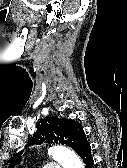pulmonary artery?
I'll return each mask as SVG.
<instances>
[{
	"mask_svg": "<svg viewBox=\"0 0 127 168\" xmlns=\"http://www.w3.org/2000/svg\"><path fill=\"white\" fill-rule=\"evenodd\" d=\"M44 168H62L58 163H50L44 166Z\"/></svg>",
	"mask_w": 127,
	"mask_h": 168,
	"instance_id": "pulmonary-artery-1",
	"label": "pulmonary artery"
}]
</instances>
